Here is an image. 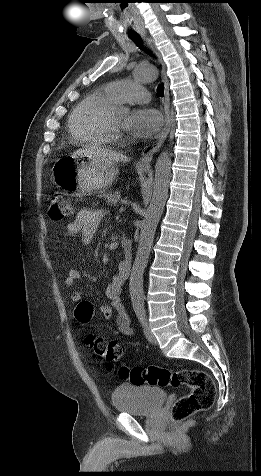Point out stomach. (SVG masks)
<instances>
[{"mask_svg":"<svg viewBox=\"0 0 261 476\" xmlns=\"http://www.w3.org/2000/svg\"><path fill=\"white\" fill-rule=\"evenodd\" d=\"M112 162L97 161L87 156H62L54 165L53 176L66 195H92L110 186L118 175Z\"/></svg>","mask_w":261,"mask_h":476,"instance_id":"stomach-1","label":"stomach"}]
</instances>
